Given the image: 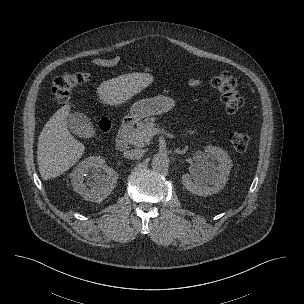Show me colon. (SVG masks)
<instances>
[{
    "mask_svg": "<svg viewBox=\"0 0 304 304\" xmlns=\"http://www.w3.org/2000/svg\"><path fill=\"white\" fill-rule=\"evenodd\" d=\"M90 80L87 72L64 73L57 77L52 86L53 100L59 105H66L73 89ZM212 86L219 92L221 101L228 113H236L244 105L235 78L227 71L221 72L211 80ZM102 131H108L111 123L107 118H101L97 122ZM230 142L235 150L244 152L247 150L250 138L246 133L233 132L230 135Z\"/></svg>",
    "mask_w": 304,
    "mask_h": 304,
    "instance_id": "1",
    "label": "colon"
}]
</instances>
